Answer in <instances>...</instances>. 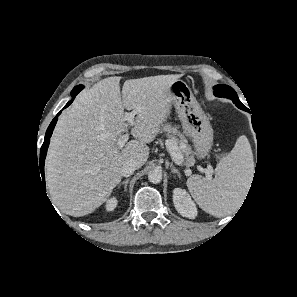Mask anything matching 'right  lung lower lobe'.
<instances>
[{
	"mask_svg": "<svg viewBox=\"0 0 297 297\" xmlns=\"http://www.w3.org/2000/svg\"><path fill=\"white\" fill-rule=\"evenodd\" d=\"M70 104H71V101L66 104L65 108L68 107ZM60 113L61 112H59L56 115V117L52 120V122L50 123V125H49V127H48V129L46 131V134H45L44 143H43V145H42V147L40 149V161H39L38 168L40 169V172L39 173H41V176H42V181L41 182H43L44 187H45V177H44V162H45V157H46V154H47V149H48V146H49L50 137L52 135L53 129H54L55 124L57 122L58 115Z\"/></svg>",
	"mask_w": 297,
	"mask_h": 297,
	"instance_id": "98d812e1",
	"label": "right lung lower lobe"
}]
</instances>
